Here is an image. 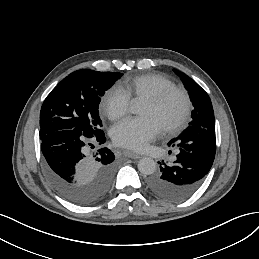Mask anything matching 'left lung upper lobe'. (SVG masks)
I'll list each match as a JSON object with an SVG mask.
<instances>
[{"label": "left lung upper lobe", "instance_id": "1", "mask_svg": "<svg viewBox=\"0 0 259 259\" xmlns=\"http://www.w3.org/2000/svg\"><path fill=\"white\" fill-rule=\"evenodd\" d=\"M174 71L183 81L194 106L189 126L215 128L214 111L208 94L186 74L176 69Z\"/></svg>", "mask_w": 259, "mask_h": 259}]
</instances>
